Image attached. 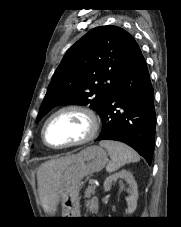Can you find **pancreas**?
I'll return each mask as SVG.
<instances>
[{
  "mask_svg": "<svg viewBox=\"0 0 181 227\" xmlns=\"http://www.w3.org/2000/svg\"><path fill=\"white\" fill-rule=\"evenodd\" d=\"M95 189H96L95 185L88 186V188L85 191V195H84L85 198H90L91 195H94L95 194Z\"/></svg>",
  "mask_w": 181,
  "mask_h": 227,
  "instance_id": "1",
  "label": "pancreas"
}]
</instances>
